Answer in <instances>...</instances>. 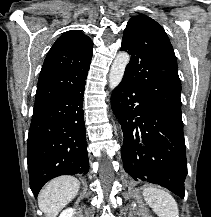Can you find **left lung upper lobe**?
Here are the masks:
<instances>
[{
  "instance_id": "5c2ea615",
  "label": "left lung upper lobe",
  "mask_w": 211,
  "mask_h": 217,
  "mask_svg": "<svg viewBox=\"0 0 211 217\" xmlns=\"http://www.w3.org/2000/svg\"><path fill=\"white\" fill-rule=\"evenodd\" d=\"M121 51L131 54L123 78L159 108L182 118L176 56L163 27L146 15L133 16L124 30Z\"/></svg>"
}]
</instances>
